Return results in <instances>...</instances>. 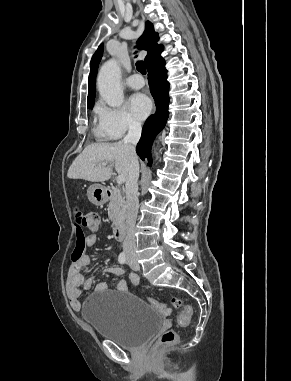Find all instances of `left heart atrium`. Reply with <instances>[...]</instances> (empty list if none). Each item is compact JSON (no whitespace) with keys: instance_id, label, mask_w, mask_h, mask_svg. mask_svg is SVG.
<instances>
[{"instance_id":"obj_1","label":"left heart atrium","mask_w":291,"mask_h":381,"mask_svg":"<svg viewBox=\"0 0 291 381\" xmlns=\"http://www.w3.org/2000/svg\"><path fill=\"white\" fill-rule=\"evenodd\" d=\"M130 106L137 118L144 119L151 112L152 102L145 94L137 93L131 97Z\"/></svg>"}]
</instances>
